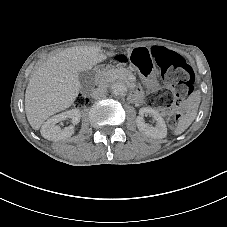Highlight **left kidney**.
Wrapping results in <instances>:
<instances>
[{
	"mask_svg": "<svg viewBox=\"0 0 227 227\" xmlns=\"http://www.w3.org/2000/svg\"><path fill=\"white\" fill-rule=\"evenodd\" d=\"M144 115H151L156 121V126H150L144 121ZM136 124L139 131L143 132L146 136L163 139L167 136V127L164 119L158 111L150 107H143L139 110V116L136 118Z\"/></svg>",
	"mask_w": 227,
	"mask_h": 227,
	"instance_id": "5707ae66",
	"label": "left kidney"
}]
</instances>
